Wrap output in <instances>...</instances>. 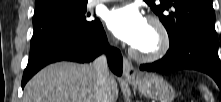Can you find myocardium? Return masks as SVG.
I'll return each mask as SVG.
<instances>
[{"instance_id":"1","label":"myocardium","mask_w":221,"mask_h":102,"mask_svg":"<svg viewBox=\"0 0 221 102\" xmlns=\"http://www.w3.org/2000/svg\"><path fill=\"white\" fill-rule=\"evenodd\" d=\"M147 23H149L158 33L159 44L157 48L151 52H142L136 47H132L131 54L139 61L153 62L159 60L168 52L171 40L166 26L159 18L150 16L147 19Z\"/></svg>"}]
</instances>
